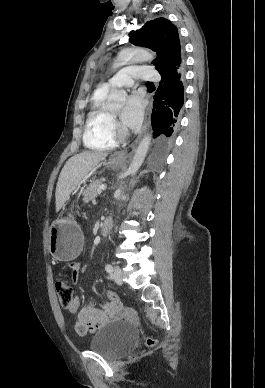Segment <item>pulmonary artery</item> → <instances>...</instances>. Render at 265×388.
Instances as JSON below:
<instances>
[{
    "label": "pulmonary artery",
    "instance_id": "obj_1",
    "mask_svg": "<svg viewBox=\"0 0 265 388\" xmlns=\"http://www.w3.org/2000/svg\"><path fill=\"white\" fill-rule=\"evenodd\" d=\"M126 69H120V75H113L112 80L106 79L104 84L112 87L113 82L117 86H132L133 82L146 79L147 82H155L160 78L159 72H154V64H126Z\"/></svg>",
    "mask_w": 265,
    "mask_h": 388
}]
</instances>
